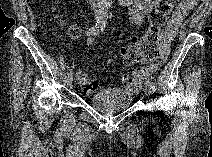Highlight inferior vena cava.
<instances>
[{"label": "inferior vena cava", "mask_w": 212, "mask_h": 157, "mask_svg": "<svg viewBox=\"0 0 212 157\" xmlns=\"http://www.w3.org/2000/svg\"><path fill=\"white\" fill-rule=\"evenodd\" d=\"M91 2H92L93 7H95L96 6L95 1H91Z\"/></svg>", "instance_id": "obj_1"}]
</instances>
